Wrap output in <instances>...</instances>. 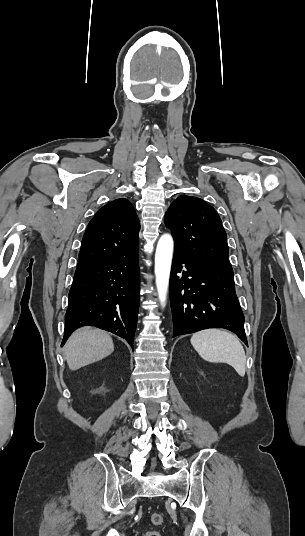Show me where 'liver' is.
<instances>
[{"mask_svg": "<svg viewBox=\"0 0 305 536\" xmlns=\"http://www.w3.org/2000/svg\"><path fill=\"white\" fill-rule=\"evenodd\" d=\"M63 350L69 370H79L110 356L114 352V344L111 336L104 330L80 328L73 332Z\"/></svg>", "mask_w": 305, "mask_h": 536, "instance_id": "6515ba94", "label": "liver"}]
</instances>
